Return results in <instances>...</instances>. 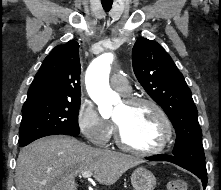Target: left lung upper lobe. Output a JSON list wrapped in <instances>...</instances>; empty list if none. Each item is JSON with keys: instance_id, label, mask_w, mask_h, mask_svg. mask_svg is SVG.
I'll list each match as a JSON object with an SVG mask.
<instances>
[{"instance_id": "1", "label": "left lung upper lobe", "mask_w": 221, "mask_h": 190, "mask_svg": "<svg viewBox=\"0 0 221 190\" xmlns=\"http://www.w3.org/2000/svg\"><path fill=\"white\" fill-rule=\"evenodd\" d=\"M133 70L148 95L167 113L177 139L173 155L205 166L197 108L182 73L157 42L140 38L132 50Z\"/></svg>"}]
</instances>
